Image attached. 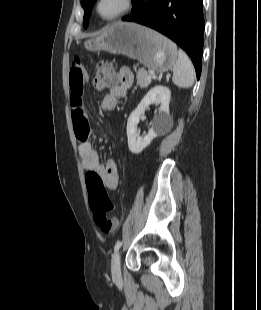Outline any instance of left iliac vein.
I'll list each match as a JSON object with an SVG mask.
<instances>
[{
    "label": "left iliac vein",
    "mask_w": 261,
    "mask_h": 310,
    "mask_svg": "<svg viewBox=\"0 0 261 310\" xmlns=\"http://www.w3.org/2000/svg\"><path fill=\"white\" fill-rule=\"evenodd\" d=\"M111 273L113 280L118 281L121 279L120 252L118 250L112 257Z\"/></svg>",
    "instance_id": "obj_1"
}]
</instances>
